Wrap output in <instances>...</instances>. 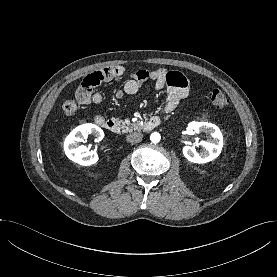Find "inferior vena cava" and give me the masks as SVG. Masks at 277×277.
Returning <instances> with one entry per match:
<instances>
[{"mask_svg": "<svg viewBox=\"0 0 277 277\" xmlns=\"http://www.w3.org/2000/svg\"><path fill=\"white\" fill-rule=\"evenodd\" d=\"M143 134L140 132L129 133L126 137L127 142L131 144L139 143L142 141Z\"/></svg>", "mask_w": 277, "mask_h": 277, "instance_id": "inferior-vena-cava-1", "label": "inferior vena cava"}]
</instances>
